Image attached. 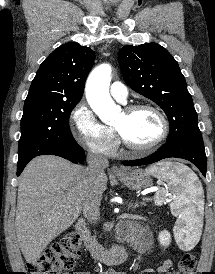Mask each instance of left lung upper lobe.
Masks as SVG:
<instances>
[{"mask_svg":"<svg viewBox=\"0 0 215 274\" xmlns=\"http://www.w3.org/2000/svg\"><path fill=\"white\" fill-rule=\"evenodd\" d=\"M126 84L158 104L170 123L168 143L204 145L197 113L177 61L161 45H127L119 51Z\"/></svg>","mask_w":215,"mask_h":274,"instance_id":"obj_1","label":"left lung upper lobe"}]
</instances>
